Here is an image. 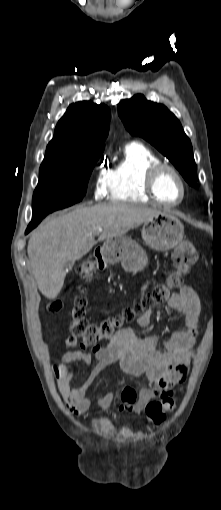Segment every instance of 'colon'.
Instances as JSON below:
<instances>
[{"label":"colon","mask_w":221,"mask_h":510,"mask_svg":"<svg viewBox=\"0 0 221 510\" xmlns=\"http://www.w3.org/2000/svg\"><path fill=\"white\" fill-rule=\"evenodd\" d=\"M198 260V251L191 241L181 242L173 252V270L167 278L156 283L142 298L133 306L124 309L120 314L102 320L90 321L87 317V299L78 295L69 310L71 318L70 330L73 336L82 339L86 346H95L102 342L112 341L125 324L132 322L145 311L155 305L166 301L171 290L179 286L183 278L189 273L191 267ZM97 266L96 258L91 256L84 259L78 266L79 276L83 280H91ZM63 303L55 301L48 306V310L58 313L62 310ZM176 408V401L172 396L162 397L160 400L150 401L145 408L146 418L150 423L160 424L166 419V415Z\"/></svg>","instance_id":"colon-1"}]
</instances>
